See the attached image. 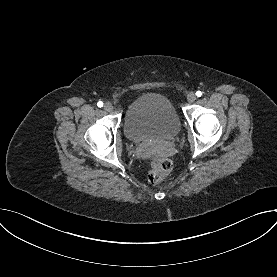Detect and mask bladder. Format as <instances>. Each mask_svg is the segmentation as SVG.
<instances>
[{
  "mask_svg": "<svg viewBox=\"0 0 277 277\" xmlns=\"http://www.w3.org/2000/svg\"><path fill=\"white\" fill-rule=\"evenodd\" d=\"M181 122L172 102L164 95L147 93L134 99L124 117V132L133 142L168 140L178 135Z\"/></svg>",
  "mask_w": 277,
  "mask_h": 277,
  "instance_id": "1",
  "label": "bladder"
}]
</instances>
